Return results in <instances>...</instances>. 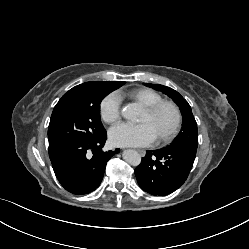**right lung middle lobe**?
<instances>
[{"mask_svg":"<svg viewBox=\"0 0 249 249\" xmlns=\"http://www.w3.org/2000/svg\"><path fill=\"white\" fill-rule=\"evenodd\" d=\"M113 90L86 86L53 110L49 128V151L66 144L91 141L106 133L100 119V103Z\"/></svg>","mask_w":249,"mask_h":249,"instance_id":"dd1d6c3e","label":"right lung middle lobe"}]
</instances>
